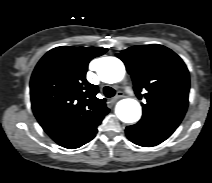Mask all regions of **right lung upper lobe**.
Here are the masks:
<instances>
[{
	"label": "right lung upper lobe",
	"mask_w": 212,
	"mask_h": 183,
	"mask_svg": "<svg viewBox=\"0 0 212 183\" xmlns=\"http://www.w3.org/2000/svg\"><path fill=\"white\" fill-rule=\"evenodd\" d=\"M107 51L96 47H57L35 67L30 81L32 109L59 145L85 137L109 112L98 88L86 80L88 63Z\"/></svg>",
	"instance_id": "obj_1"
}]
</instances>
